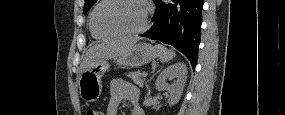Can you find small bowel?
Segmentation results:
<instances>
[{
  "label": "small bowel",
  "mask_w": 285,
  "mask_h": 115,
  "mask_svg": "<svg viewBox=\"0 0 285 115\" xmlns=\"http://www.w3.org/2000/svg\"><path fill=\"white\" fill-rule=\"evenodd\" d=\"M127 101L131 104V115H143L139 106V91L124 79H115L110 86V99L107 105V115H116L119 105Z\"/></svg>",
  "instance_id": "c3829d8e"
}]
</instances>
